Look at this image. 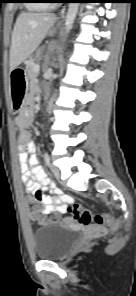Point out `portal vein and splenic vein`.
<instances>
[{"mask_svg": "<svg viewBox=\"0 0 136 296\" xmlns=\"http://www.w3.org/2000/svg\"><path fill=\"white\" fill-rule=\"evenodd\" d=\"M39 69H40V68H39V65H36V66L34 67V71H35V72H39Z\"/></svg>", "mask_w": 136, "mask_h": 296, "instance_id": "obj_1", "label": "portal vein and splenic vein"}]
</instances>
